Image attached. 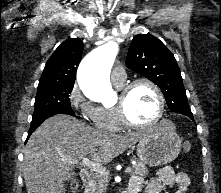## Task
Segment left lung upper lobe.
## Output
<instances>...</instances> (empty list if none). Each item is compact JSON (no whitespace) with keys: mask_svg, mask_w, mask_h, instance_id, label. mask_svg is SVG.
Wrapping results in <instances>:
<instances>
[{"mask_svg":"<svg viewBox=\"0 0 221 193\" xmlns=\"http://www.w3.org/2000/svg\"><path fill=\"white\" fill-rule=\"evenodd\" d=\"M126 65L159 86L172 112L192 115L178 64L158 38L151 34L136 35Z\"/></svg>","mask_w":221,"mask_h":193,"instance_id":"1","label":"left lung upper lobe"}]
</instances>
